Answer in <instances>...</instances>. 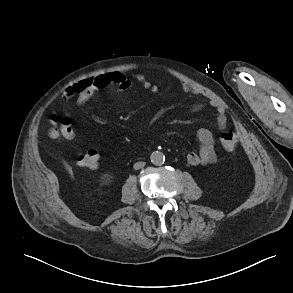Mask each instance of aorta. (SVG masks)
I'll use <instances>...</instances> for the list:
<instances>
[{
  "label": "aorta",
  "instance_id": "obj_1",
  "mask_svg": "<svg viewBox=\"0 0 293 293\" xmlns=\"http://www.w3.org/2000/svg\"><path fill=\"white\" fill-rule=\"evenodd\" d=\"M150 160L155 165H160L165 161V156L162 152L155 151L150 155Z\"/></svg>",
  "mask_w": 293,
  "mask_h": 293
}]
</instances>
